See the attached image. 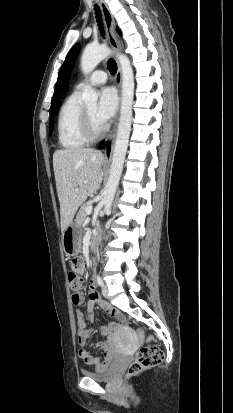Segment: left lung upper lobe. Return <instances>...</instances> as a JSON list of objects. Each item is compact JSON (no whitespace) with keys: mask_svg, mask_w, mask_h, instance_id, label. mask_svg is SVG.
<instances>
[{"mask_svg":"<svg viewBox=\"0 0 233 413\" xmlns=\"http://www.w3.org/2000/svg\"><path fill=\"white\" fill-rule=\"evenodd\" d=\"M79 51V44H75L71 50L69 51L60 71L58 74V79L55 85V92L52 98V103H51V110L54 108L55 104L57 103L58 99L61 96L62 93V88L65 84V82L67 81L70 73H71V69L73 67V64L76 60L77 54Z\"/></svg>","mask_w":233,"mask_h":413,"instance_id":"obj_1","label":"left lung upper lobe"}]
</instances>
